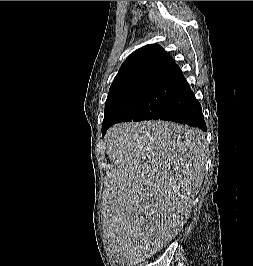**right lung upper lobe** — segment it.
<instances>
[{"mask_svg":"<svg viewBox=\"0 0 253 266\" xmlns=\"http://www.w3.org/2000/svg\"><path fill=\"white\" fill-rule=\"evenodd\" d=\"M183 78L172 56L160 45L149 44L134 51L124 61L110 87L106 102L154 85H175Z\"/></svg>","mask_w":253,"mask_h":266,"instance_id":"cb5924a9","label":"right lung upper lobe"}]
</instances>
